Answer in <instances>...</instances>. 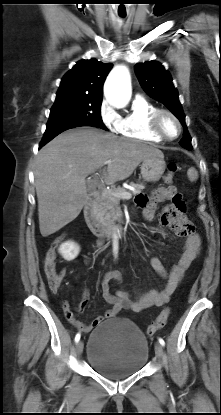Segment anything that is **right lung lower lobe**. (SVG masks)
<instances>
[{"mask_svg":"<svg viewBox=\"0 0 221 415\" xmlns=\"http://www.w3.org/2000/svg\"><path fill=\"white\" fill-rule=\"evenodd\" d=\"M79 126H87L82 123H58V124H47L46 131L44 133V136L40 142L39 148H41L43 145L48 143L50 140H52L54 137H56L58 134L62 133L65 130L79 127Z\"/></svg>","mask_w":221,"mask_h":415,"instance_id":"98d812e1","label":"right lung lower lobe"}]
</instances>
